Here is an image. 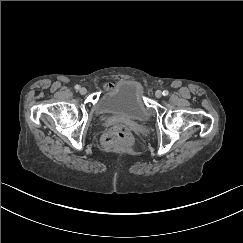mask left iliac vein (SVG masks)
Listing matches in <instances>:
<instances>
[{
	"instance_id": "1",
	"label": "left iliac vein",
	"mask_w": 243,
	"mask_h": 243,
	"mask_svg": "<svg viewBox=\"0 0 243 243\" xmlns=\"http://www.w3.org/2000/svg\"><path fill=\"white\" fill-rule=\"evenodd\" d=\"M162 94H163V92L160 91V90H157V91L155 92V96H156L157 98H161V97H162Z\"/></svg>"
}]
</instances>
